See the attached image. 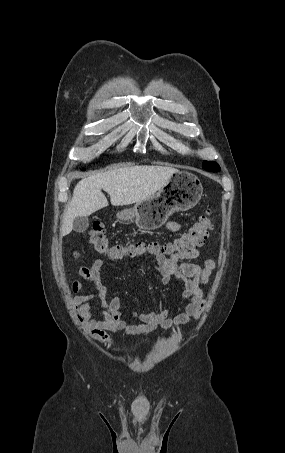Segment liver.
Returning a JSON list of instances; mask_svg holds the SVG:
<instances>
[{
    "mask_svg": "<svg viewBox=\"0 0 285 453\" xmlns=\"http://www.w3.org/2000/svg\"><path fill=\"white\" fill-rule=\"evenodd\" d=\"M178 170L164 166H128L88 176L74 188L72 200L65 212L60 235L73 229L76 217H87L108 206L102 189L110 195L113 206L143 201L159 191Z\"/></svg>",
    "mask_w": 285,
    "mask_h": 453,
    "instance_id": "obj_1",
    "label": "liver"
}]
</instances>
